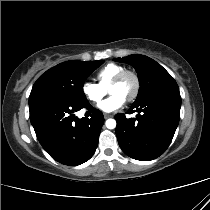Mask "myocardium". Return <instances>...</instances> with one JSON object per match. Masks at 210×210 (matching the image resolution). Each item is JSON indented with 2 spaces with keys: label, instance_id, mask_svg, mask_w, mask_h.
I'll return each instance as SVG.
<instances>
[{
  "label": "myocardium",
  "instance_id": "1",
  "mask_svg": "<svg viewBox=\"0 0 210 210\" xmlns=\"http://www.w3.org/2000/svg\"><path fill=\"white\" fill-rule=\"evenodd\" d=\"M127 77H131L135 84L133 92L126 98V102L131 103L137 99L141 90V80L136 72L131 70H124L120 72L110 83L109 88L121 84Z\"/></svg>",
  "mask_w": 210,
  "mask_h": 210
}]
</instances>
